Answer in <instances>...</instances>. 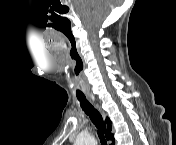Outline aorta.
<instances>
[{
    "instance_id": "obj_1",
    "label": "aorta",
    "mask_w": 176,
    "mask_h": 145,
    "mask_svg": "<svg viewBox=\"0 0 176 145\" xmlns=\"http://www.w3.org/2000/svg\"><path fill=\"white\" fill-rule=\"evenodd\" d=\"M81 143V142H78ZM85 143H95V140L92 137H88L87 139H85Z\"/></svg>"
}]
</instances>
